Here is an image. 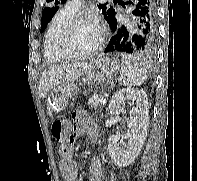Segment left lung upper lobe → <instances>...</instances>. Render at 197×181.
<instances>
[{
	"instance_id": "left-lung-upper-lobe-1",
	"label": "left lung upper lobe",
	"mask_w": 197,
	"mask_h": 181,
	"mask_svg": "<svg viewBox=\"0 0 197 181\" xmlns=\"http://www.w3.org/2000/svg\"><path fill=\"white\" fill-rule=\"evenodd\" d=\"M47 2H52V6L45 7L42 12L41 19V32L44 31L47 24L51 21L55 13L57 12L60 5L66 2V0H46ZM98 8L101 9L104 18L107 20V23L115 19V10L112 6L106 7V5H98Z\"/></svg>"
}]
</instances>
